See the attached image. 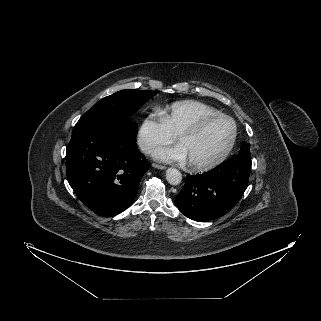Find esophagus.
I'll return each mask as SVG.
<instances>
[{
    "label": "esophagus",
    "instance_id": "1",
    "mask_svg": "<svg viewBox=\"0 0 321 321\" xmlns=\"http://www.w3.org/2000/svg\"><path fill=\"white\" fill-rule=\"evenodd\" d=\"M152 166H153L154 168L161 169V170L166 169V166L159 165V164H155V163H153Z\"/></svg>",
    "mask_w": 321,
    "mask_h": 321
}]
</instances>
